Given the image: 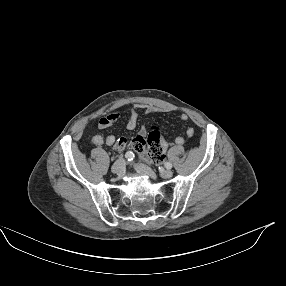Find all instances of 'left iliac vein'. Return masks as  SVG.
Here are the masks:
<instances>
[{
	"instance_id": "1",
	"label": "left iliac vein",
	"mask_w": 286,
	"mask_h": 286,
	"mask_svg": "<svg viewBox=\"0 0 286 286\" xmlns=\"http://www.w3.org/2000/svg\"><path fill=\"white\" fill-rule=\"evenodd\" d=\"M160 175L163 178H170V177H172V172L170 170H162L160 172Z\"/></svg>"
}]
</instances>
